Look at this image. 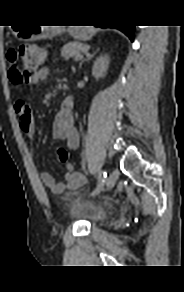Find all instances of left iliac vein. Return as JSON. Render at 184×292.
I'll list each match as a JSON object with an SVG mask.
<instances>
[{"instance_id": "4c4485c4", "label": "left iliac vein", "mask_w": 184, "mask_h": 292, "mask_svg": "<svg viewBox=\"0 0 184 292\" xmlns=\"http://www.w3.org/2000/svg\"><path fill=\"white\" fill-rule=\"evenodd\" d=\"M118 177H119V171L118 170H113L110 174H109V176H108V178H107V181H106V189L107 190H109V189H111L114 185H115V183L117 182V180H118ZM97 194V193H96Z\"/></svg>"}]
</instances>
